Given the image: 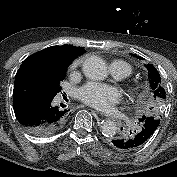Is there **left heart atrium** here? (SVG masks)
Listing matches in <instances>:
<instances>
[{"label":"left heart atrium","mask_w":177,"mask_h":177,"mask_svg":"<svg viewBox=\"0 0 177 177\" xmlns=\"http://www.w3.org/2000/svg\"><path fill=\"white\" fill-rule=\"evenodd\" d=\"M78 98L98 110H108L121 100V92L114 86L87 83L77 92Z\"/></svg>","instance_id":"obj_1"}]
</instances>
